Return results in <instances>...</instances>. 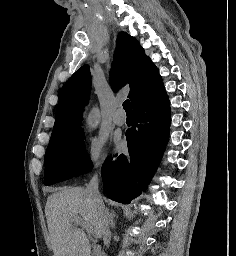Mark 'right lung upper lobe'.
<instances>
[{"label":"right lung upper lobe","instance_id":"cb5924a9","mask_svg":"<svg viewBox=\"0 0 236 256\" xmlns=\"http://www.w3.org/2000/svg\"><path fill=\"white\" fill-rule=\"evenodd\" d=\"M130 84L132 106L162 83L158 69L139 42L126 32L117 37L111 86L114 91ZM91 77L88 65L79 68L62 87L56 109V119L50 140L63 137L81 126V112L87 105Z\"/></svg>","mask_w":236,"mask_h":256}]
</instances>
